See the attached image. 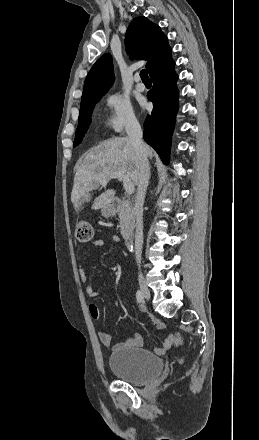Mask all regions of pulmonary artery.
<instances>
[{
  "mask_svg": "<svg viewBox=\"0 0 259 440\" xmlns=\"http://www.w3.org/2000/svg\"><path fill=\"white\" fill-rule=\"evenodd\" d=\"M135 82H136V84H135V88H136V90L139 91V92H143V91L145 90V86H144V84L141 82V79H140V77H139L138 74L135 75Z\"/></svg>",
  "mask_w": 259,
  "mask_h": 440,
  "instance_id": "pulmonary-artery-1",
  "label": "pulmonary artery"
}]
</instances>
